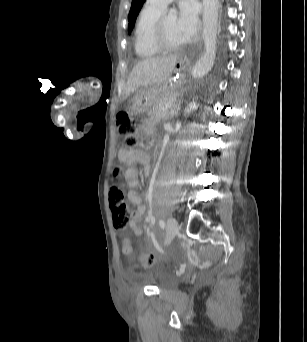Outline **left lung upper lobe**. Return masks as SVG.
Masks as SVG:
<instances>
[{"label":"left lung upper lobe","instance_id":"1","mask_svg":"<svg viewBox=\"0 0 307 342\" xmlns=\"http://www.w3.org/2000/svg\"><path fill=\"white\" fill-rule=\"evenodd\" d=\"M145 0H132V5L131 9L128 15V21H129V26H128V32L130 33L134 27L135 20L142 8V5Z\"/></svg>","mask_w":307,"mask_h":342}]
</instances>
